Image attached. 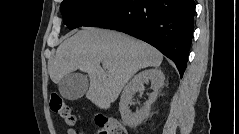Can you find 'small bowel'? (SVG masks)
Instances as JSON below:
<instances>
[{
  "label": "small bowel",
  "mask_w": 239,
  "mask_h": 134,
  "mask_svg": "<svg viewBox=\"0 0 239 134\" xmlns=\"http://www.w3.org/2000/svg\"><path fill=\"white\" fill-rule=\"evenodd\" d=\"M66 133H67V134H76V132H75L74 130H72V129H67ZM77 133H78V134H84L83 128L80 127Z\"/></svg>",
  "instance_id": "small-bowel-1"
}]
</instances>
